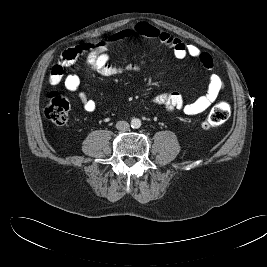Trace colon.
Masks as SVG:
<instances>
[{
    "label": "colon",
    "instance_id": "colon-1",
    "mask_svg": "<svg viewBox=\"0 0 267 267\" xmlns=\"http://www.w3.org/2000/svg\"><path fill=\"white\" fill-rule=\"evenodd\" d=\"M69 103L58 92H51L48 102L44 108L45 117L57 126L65 125L69 117ZM231 114L230 105L225 102H219L213 106L207 118L203 122L205 129L217 127L225 123Z\"/></svg>",
    "mask_w": 267,
    "mask_h": 267
}]
</instances>
